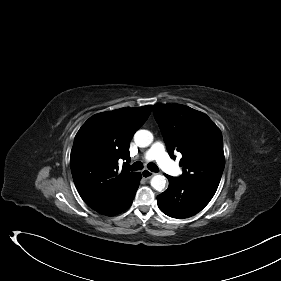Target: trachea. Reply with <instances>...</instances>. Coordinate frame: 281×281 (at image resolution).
<instances>
[{
	"mask_svg": "<svg viewBox=\"0 0 281 281\" xmlns=\"http://www.w3.org/2000/svg\"><path fill=\"white\" fill-rule=\"evenodd\" d=\"M142 168H143L142 162L137 161V162H135V163L131 166L130 169H131L132 171H137V170H141ZM148 168H149V170L152 171V172H158V171H159L158 166H157L156 164H154V163H149V164H148Z\"/></svg>",
	"mask_w": 281,
	"mask_h": 281,
	"instance_id": "obj_1",
	"label": "trachea"
}]
</instances>
